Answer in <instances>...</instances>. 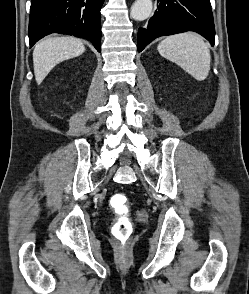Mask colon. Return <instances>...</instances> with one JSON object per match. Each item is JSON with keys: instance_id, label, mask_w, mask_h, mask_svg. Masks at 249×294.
Listing matches in <instances>:
<instances>
[{"instance_id": "1", "label": "colon", "mask_w": 249, "mask_h": 294, "mask_svg": "<svg viewBox=\"0 0 249 294\" xmlns=\"http://www.w3.org/2000/svg\"><path fill=\"white\" fill-rule=\"evenodd\" d=\"M127 202L128 198L123 194H117L113 196L112 199L114 208H116L120 214L118 220L113 225V233L116 239L123 244L130 240L134 229L132 222L124 213Z\"/></svg>"}]
</instances>
